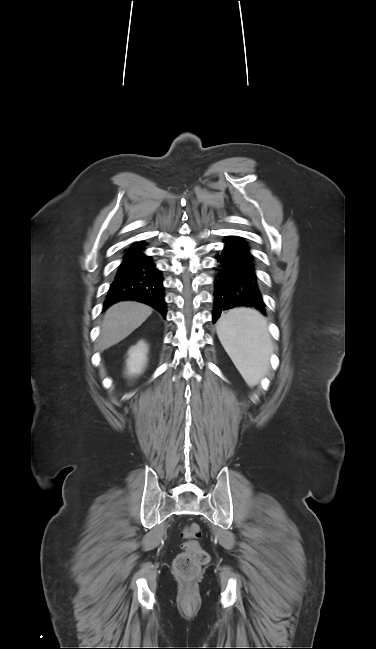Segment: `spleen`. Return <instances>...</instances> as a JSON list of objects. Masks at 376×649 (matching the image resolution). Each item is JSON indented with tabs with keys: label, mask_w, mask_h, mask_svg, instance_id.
<instances>
[{
	"label": "spleen",
	"mask_w": 376,
	"mask_h": 649,
	"mask_svg": "<svg viewBox=\"0 0 376 649\" xmlns=\"http://www.w3.org/2000/svg\"><path fill=\"white\" fill-rule=\"evenodd\" d=\"M217 335L236 368L252 387L269 367L272 341L266 319L251 308H235L222 315Z\"/></svg>",
	"instance_id": "spleen-1"
}]
</instances>
